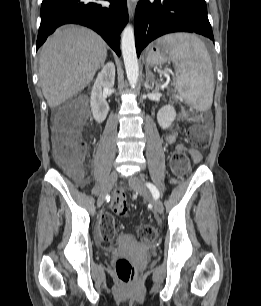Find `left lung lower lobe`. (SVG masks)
I'll return each instance as SVG.
<instances>
[{"instance_id":"1","label":"left lung lower lobe","mask_w":261,"mask_h":306,"mask_svg":"<svg viewBox=\"0 0 261 306\" xmlns=\"http://www.w3.org/2000/svg\"><path fill=\"white\" fill-rule=\"evenodd\" d=\"M173 32H193L214 41L205 0H141L135 13V44L141 51L154 39Z\"/></svg>"}]
</instances>
